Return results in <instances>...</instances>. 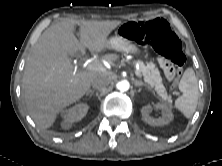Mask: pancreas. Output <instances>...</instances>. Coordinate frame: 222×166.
I'll return each instance as SVG.
<instances>
[{"instance_id":"1","label":"pancreas","mask_w":222,"mask_h":166,"mask_svg":"<svg viewBox=\"0 0 222 166\" xmlns=\"http://www.w3.org/2000/svg\"><path fill=\"white\" fill-rule=\"evenodd\" d=\"M139 72L142 73L144 81L150 88H154L156 93L164 100L170 101L171 97L167 94V91L163 85L162 77L159 69L152 62L146 65L143 62H139Z\"/></svg>"}]
</instances>
